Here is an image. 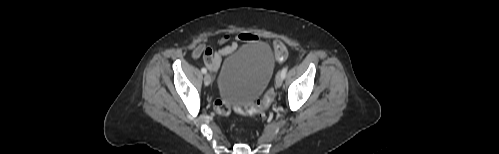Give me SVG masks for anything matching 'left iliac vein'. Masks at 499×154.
<instances>
[{
    "mask_svg": "<svg viewBox=\"0 0 499 154\" xmlns=\"http://www.w3.org/2000/svg\"><path fill=\"white\" fill-rule=\"evenodd\" d=\"M283 83V77L281 76V73H278L275 79V85L276 87H281Z\"/></svg>",
    "mask_w": 499,
    "mask_h": 154,
    "instance_id": "left-iliac-vein-1",
    "label": "left iliac vein"
}]
</instances>
